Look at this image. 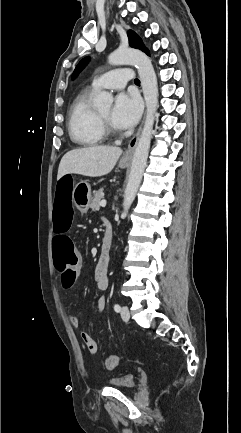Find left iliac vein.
Returning <instances> with one entry per match:
<instances>
[{
    "mask_svg": "<svg viewBox=\"0 0 241 433\" xmlns=\"http://www.w3.org/2000/svg\"><path fill=\"white\" fill-rule=\"evenodd\" d=\"M121 317L124 321H128L130 318V313L127 306H123L121 309Z\"/></svg>",
    "mask_w": 241,
    "mask_h": 433,
    "instance_id": "1",
    "label": "left iliac vein"
}]
</instances>
